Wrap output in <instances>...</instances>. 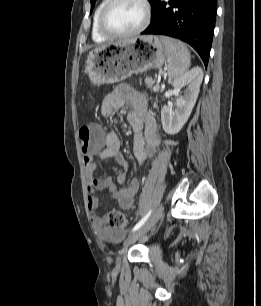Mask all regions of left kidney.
I'll use <instances>...</instances> for the list:
<instances>
[{"instance_id":"obj_1","label":"left kidney","mask_w":261,"mask_h":306,"mask_svg":"<svg viewBox=\"0 0 261 306\" xmlns=\"http://www.w3.org/2000/svg\"><path fill=\"white\" fill-rule=\"evenodd\" d=\"M202 80V69L194 67L172 82L174 87L172 93L177 96L176 108L172 110L171 107L165 105L161 110L162 126L167 134H177L187 122L196 103ZM185 86L187 88L184 90L183 95L180 96L181 89Z\"/></svg>"}]
</instances>
